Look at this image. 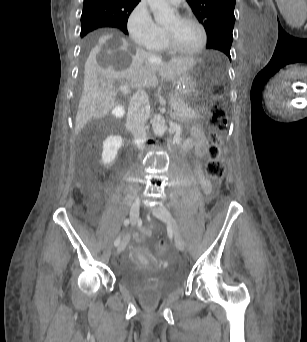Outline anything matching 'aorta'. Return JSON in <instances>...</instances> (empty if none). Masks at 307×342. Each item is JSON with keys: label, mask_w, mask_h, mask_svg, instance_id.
Wrapping results in <instances>:
<instances>
[{"label": "aorta", "mask_w": 307, "mask_h": 342, "mask_svg": "<svg viewBox=\"0 0 307 342\" xmlns=\"http://www.w3.org/2000/svg\"><path fill=\"white\" fill-rule=\"evenodd\" d=\"M150 10L154 16L155 22L161 24V26H166V24H171L177 20L173 8L166 0H147ZM152 128L154 134L157 136H163L166 132L165 120L161 114H155L152 120Z\"/></svg>", "instance_id": "1"}]
</instances>
